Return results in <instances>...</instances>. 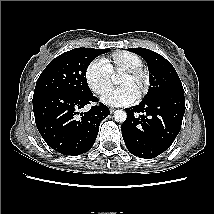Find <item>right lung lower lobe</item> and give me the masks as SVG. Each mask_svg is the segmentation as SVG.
<instances>
[{
    "mask_svg": "<svg viewBox=\"0 0 214 214\" xmlns=\"http://www.w3.org/2000/svg\"><path fill=\"white\" fill-rule=\"evenodd\" d=\"M96 101L93 94L45 93L33 97L36 126L45 142L63 155L77 156L89 151L100 122L110 114L109 108L100 103L87 112L78 111Z\"/></svg>",
    "mask_w": 214,
    "mask_h": 214,
    "instance_id": "1",
    "label": "right lung lower lobe"
}]
</instances>
